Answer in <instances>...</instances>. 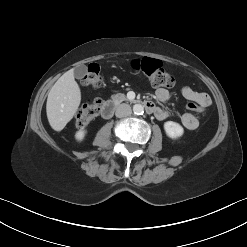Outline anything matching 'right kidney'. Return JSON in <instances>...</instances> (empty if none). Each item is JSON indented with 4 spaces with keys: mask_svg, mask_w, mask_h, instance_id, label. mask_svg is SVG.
<instances>
[{
    "mask_svg": "<svg viewBox=\"0 0 247 247\" xmlns=\"http://www.w3.org/2000/svg\"><path fill=\"white\" fill-rule=\"evenodd\" d=\"M85 135H86V131L85 130H79L76 132L75 134V139L78 141V142H81L83 141V139L85 138Z\"/></svg>",
    "mask_w": 247,
    "mask_h": 247,
    "instance_id": "ca27d5eb",
    "label": "right kidney"
}]
</instances>
